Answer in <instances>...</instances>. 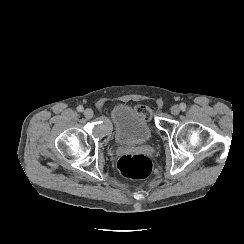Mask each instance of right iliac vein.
I'll list each match as a JSON object with an SVG mask.
<instances>
[{"label":"right iliac vein","mask_w":244,"mask_h":244,"mask_svg":"<svg viewBox=\"0 0 244 244\" xmlns=\"http://www.w3.org/2000/svg\"><path fill=\"white\" fill-rule=\"evenodd\" d=\"M93 111L89 108H87L85 111H84V116L87 118V119H90L93 117Z\"/></svg>","instance_id":"obj_1"}]
</instances>
